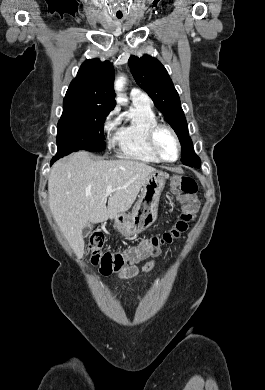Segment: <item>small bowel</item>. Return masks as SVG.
I'll list each match as a JSON object with an SVG mask.
<instances>
[{"mask_svg": "<svg viewBox=\"0 0 265 390\" xmlns=\"http://www.w3.org/2000/svg\"><path fill=\"white\" fill-rule=\"evenodd\" d=\"M155 265L154 260H150L147 263H145L141 268L137 266H130L129 268L125 269L122 272H119L118 276L121 279H131L135 276H137L141 271L142 272H149L153 269Z\"/></svg>", "mask_w": 265, "mask_h": 390, "instance_id": "small-bowel-1", "label": "small bowel"}]
</instances>
